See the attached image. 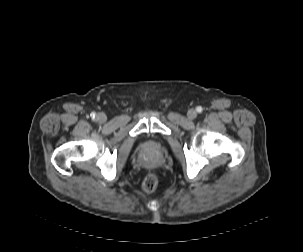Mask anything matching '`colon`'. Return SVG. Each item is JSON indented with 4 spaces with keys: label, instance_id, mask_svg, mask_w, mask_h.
<instances>
[{
    "label": "colon",
    "instance_id": "5ec220e1",
    "mask_svg": "<svg viewBox=\"0 0 303 252\" xmlns=\"http://www.w3.org/2000/svg\"><path fill=\"white\" fill-rule=\"evenodd\" d=\"M158 181H159V177H158L157 172L151 171L143 179L142 189L146 193H151L157 188Z\"/></svg>",
    "mask_w": 303,
    "mask_h": 252
}]
</instances>
